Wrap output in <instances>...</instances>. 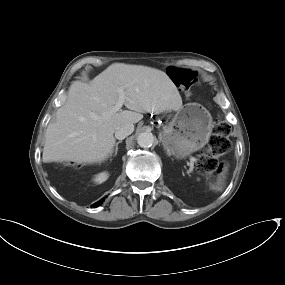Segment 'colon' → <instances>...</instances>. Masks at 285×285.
Returning a JSON list of instances; mask_svg holds the SVG:
<instances>
[{
    "mask_svg": "<svg viewBox=\"0 0 285 285\" xmlns=\"http://www.w3.org/2000/svg\"><path fill=\"white\" fill-rule=\"evenodd\" d=\"M168 70L176 83H179L180 80L188 79L191 75L189 71L173 66L169 67ZM229 131L230 126L228 124L225 122H218L214 127V133L209 139L207 148H205L198 156V167L208 175L220 173L225 169V165L219 160V157L227 153L230 149L228 140Z\"/></svg>",
    "mask_w": 285,
    "mask_h": 285,
    "instance_id": "5ec220e1",
    "label": "colon"
}]
</instances>
